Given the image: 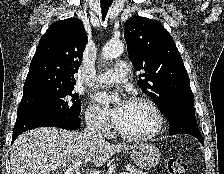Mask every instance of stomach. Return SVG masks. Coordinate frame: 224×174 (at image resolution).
Masks as SVG:
<instances>
[{"label": "stomach", "instance_id": "stomach-1", "mask_svg": "<svg viewBox=\"0 0 224 174\" xmlns=\"http://www.w3.org/2000/svg\"><path fill=\"white\" fill-rule=\"evenodd\" d=\"M130 157L139 168L151 169L159 163L161 153L155 145L141 143L131 150Z\"/></svg>", "mask_w": 224, "mask_h": 174}]
</instances>
